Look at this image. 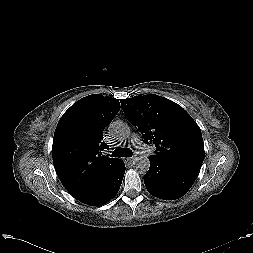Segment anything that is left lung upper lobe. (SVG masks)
Instances as JSON below:
<instances>
[{"label": "left lung upper lobe", "mask_w": 253, "mask_h": 253, "mask_svg": "<svg viewBox=\"0 0 253 253\" xmlns=\"http://www.w3.org/2000/svg\"><path fill=\"white\" fill-rule=\"evenodd\" d=\"M128 120L137 126L145 142L155 144L152 157L204 160V143L197 123L177 103L148 94L121 100Z\"/></svg>", "instance_id": "1"}]
</instances>
